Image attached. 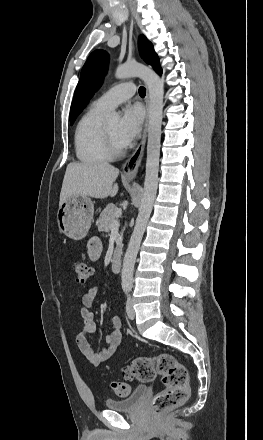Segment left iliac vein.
Here are the masks:
<instances>
[{
    "label": "left iliac vein",
    "instance_id": "4c4485c4",
    "mask_svg": "<svg viewBox=\"0 0 263 440\" xmlns=\"http://www.w3.org/2000/svg\"><path fill=\"white\" fill-rule=\"evenodd\" d=\"M126 311H127V316L130 320H133L135 318V312L133 309V303L131 298L129 297L126 303Z\"/></svg>",
    "mask_w": 263,
    "mask_h": 440
}]
</instances>
